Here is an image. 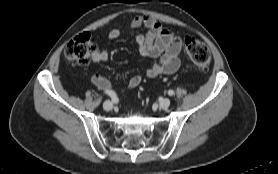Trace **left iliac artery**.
Here are the masks:
<instances>
[{
	"instance_id": "obj_1",
	"label": "left iliac artery",
	"mask_w": 278,
	"mask_h": 174,
	"mask_svg": "<svg viewBox=\"0 0 278 174\" xmlns=\"http://www.w3.org/2000/svg\"><path fill=\"white\" fill-rule=\"evenodd\" d=\"M174 94H175V93H174L173 90H169V91H168V95H169V96H173Z\"/></svg>"
}]
</instances>
